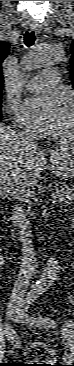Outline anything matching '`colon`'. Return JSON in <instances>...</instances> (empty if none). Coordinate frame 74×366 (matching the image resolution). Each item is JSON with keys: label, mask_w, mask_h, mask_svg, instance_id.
Wrapping results in <instances>:
<instances>
[{"label": "colon", "mask_w": 74, "mask_h": 366, "mask_svg": "<svg viewBox=\"0 0 74 366\" xmlns=\"http://www.w3.org/2000/svg\"><path fill=\"white\" fill-rule=\"evenodd\" d=\"M26 358L29 360H49L47 350L42 346H36L28 349ZM31 366H51L49 363L30 364Z\"/></svg>", "instance_id": "colon-1"}]
</instances>
